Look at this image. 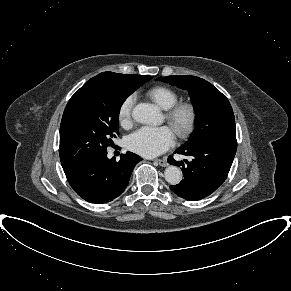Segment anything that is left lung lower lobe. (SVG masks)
Listing matches in <instances>:
<instances>
[{"label":"left lung lower lobe","mask_w":291,"mask_h":291,"mask_svg":"<svg viewBox=\"0 0 291 291\" xmlns=\"http://www.w3.org/2000/svg\"><path fill=\"white\" fill-rule=\"evenodd\" d=\"M237 149L236 137L222 136L196 145L182 146L175 153L190 157V161L177 162L168 157L171 165H182L184 179L170 186L186 200H200L213 193L227 178Z\"/></svg>","instance_id":"obj_1"}]
</instances>
